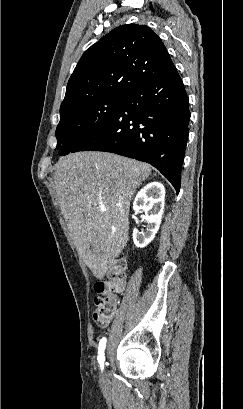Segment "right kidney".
Masks as SVG:
<instances>
[{
    "label": "right kidney",
    "instance_id": "ca27d5eb",
    "mask_svg": "<svg viewBox=\"0 0 243 409\" xmlns=\"http://www.w3.org/2000/svg\"><path fill=\"white\" fill-rule=\"evenodd\" d=\"M165 188L160 182H151L144 186L136 195L133 210L145 212L143 220L147 223L146 231L134 228L133 241L136 247L144 248L155 237L161 223L164 210Z\"/></svg>",
    "mask_w": 243,
    "mask_h": 409
}]
</instances>
